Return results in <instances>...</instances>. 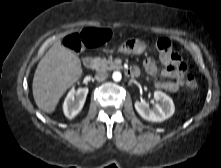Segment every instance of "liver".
<instances>
[{"mask_svg": "<svg viewBox=\"0 0 221 168\" xmlns=\"http://www.w3.org/2000/svg\"><path fill=\"white\" fill-rule=\"evenodd\" d=\"M82 75L81 61L70 49L56 40L40 60L32 83L38 108L52 113L66 92Z\"/></svg>", "mask_w": 221, "mask_h": 168, "instance_id": "liver-1", "label": "liver"}]
</instances>
